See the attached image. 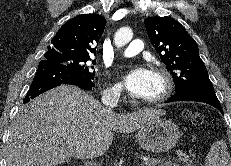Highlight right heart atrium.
Segmentation results:
<instances>
[{"label":"right heart atrium","instance_id":"right-heart-atrium-1","mask_svg":"<svg viewBox=\"0 0 231 166\" xmlns=\"http://www.w3.org/2000/svg\"><path fill=\"white\" fill-rule=\"evenodd\" d=\"M105 96L109 99H118L122 94V90L119 84H109L104 92Z\"/></svg>","mask_w":231,"mask_h":166}]
</instances>
